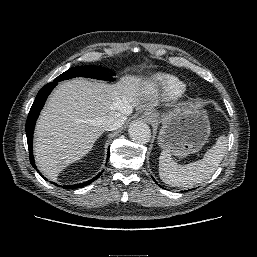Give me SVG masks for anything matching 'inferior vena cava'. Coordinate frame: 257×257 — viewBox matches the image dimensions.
Segmentation results:
<instances>
[{"label":"inferior vena cava","instance_id":"inferior-vena-cava-1","mask_svg":"<svg viewBox=\"0 0 257 257\" xmlns=\"http://www.w3.org/2000/svg\"><path fill=\"white\" fill-rule=\"evenodd\" d=\"M132 112L131 107H124L123 112H112L101 118V126L106 131H113L121 127Z\"/></svg>","mask_w":257,"mask_h":257}]
</instances>
